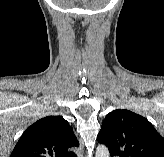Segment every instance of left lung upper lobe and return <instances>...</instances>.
Here are the masks:
<instances>
[{"mask_svg": "<svg viewBox=\"0 0 164 157\" xmlns=\"http://www.w3.org/2000/svg\"><path fill=\"white\" fill-rule=\"evenodd\" d=\"M115 157H164V138L144 117L128 111L107 114L97 136Z\"/></svg>", "mask_w": 164, "mask_h": 157, "instance_id": "left-lung-upper-lobe-1", "label": "left lung upper lobe"}]
</instances>
